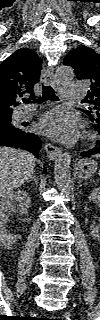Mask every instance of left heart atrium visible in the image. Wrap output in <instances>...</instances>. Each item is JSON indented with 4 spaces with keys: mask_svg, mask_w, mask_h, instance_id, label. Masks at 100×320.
I'll use <instances>...</instances> for the list:
<instances>
[{
    "mask_svg": "<svg viewBox=\"0 0 100 320\" xmlns=\"http://www.w3.org/2000/svg\"><path fill=\"white\" fill-rule=\"evenodd\" d=\"M38 129L57 141L71 143L80 134V122L73 113L62 108H56L40 119Z\"/></svg>",
    "mask_w": 100,
    "mask_h": 320,
    "instance_id": "left-heart-atrium-1",
    "label": "left heart atrium"
}]
</instances>
